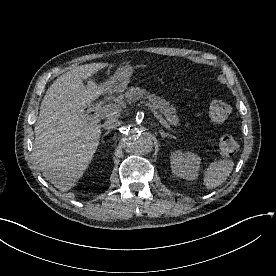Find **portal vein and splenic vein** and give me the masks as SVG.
I'll use <instances>...</instances> for the list:
<instances>
[{"label": "portal vein and splenic vein", "mask_w": 276, "mask_h": 276, "mask_svg": "<svg viewBox=\"0 0 276 276\" xmlns=\"http://www.w3.org/2000/svg\"><path fill=\"white\" fill-rule=\"evenodd\" d=\"M145 105L159 119L160 123L164 127L169 128L168 123L165 121V119L162 117V115L158 113V111L153 107V105H151L148 102H145ZM121 107H123V106L122 105H117V104H109V105H106L102 108H97L95 110V113L92 116H90V119H91L92 122H98V121H100V119H102L104 117L116 116L120 112Z\"/></svg>", "instance_id": "1"}]
</instances>
